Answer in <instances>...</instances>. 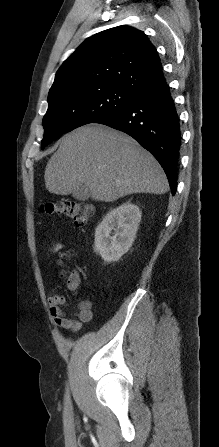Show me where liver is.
<instances>
[{"label": "liver", "instance_id": "6515ba94", "mask_svg": "<svg viewBox=\"0 0 219 447\" xmlns=\"http://www.w3.org/2000/svg\"><path fill=\"white\" fill-rule=\"evenodd\" d=\"M46 189L69 195L84 184L95 201L133 193L164 194L167 177L157 160L130 136L90 124L64 135L45 170Z\"/></svg>", "mask_w": 219, "mask_h": 447}]
</instances>
